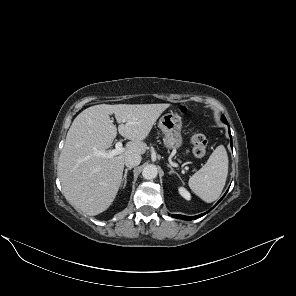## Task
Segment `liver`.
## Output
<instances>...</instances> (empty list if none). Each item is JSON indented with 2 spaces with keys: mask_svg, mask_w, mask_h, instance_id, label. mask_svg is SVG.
<instances>
[{
  "mask_svg": "<svg viewBox=\"0 0 296 296\" xmlns=\"http://www.w3.org/2000/svg\"><path fill=\"white\" fill-rule=\"evenodd\" d=\"M170 104H100L83 110L73 121L60 153L58 176L66 200L89 216L105 211L122 182L125 158L144 154V139ZM118 132L131 140L123 152L112 158L94 155L112 146Z\"/></svg>",
  "mask_w": 296,
  "mask_h": 296,
  "instance_id": "obj_1",
  "label": "liver"
}]
</instances>
